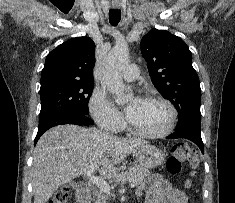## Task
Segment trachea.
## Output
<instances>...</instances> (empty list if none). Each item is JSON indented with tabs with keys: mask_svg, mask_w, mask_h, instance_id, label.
<instances>
[{
	"mask_svg": "<svg viewBox=\"0 0 235 203\" xmlns=\"http://www.w3.org/2000/svg\"><path fill=\"white\" fill-rule=\"evenodd\" d=\"M121 19V11L116 9H111L109 11V22L113 26H117Z\"/></svg>",
	"mask_w": 235,
	"mask_h": 203,
	"instance_id": "3493384b",
	"label": "trachea"
}]
</instances>
